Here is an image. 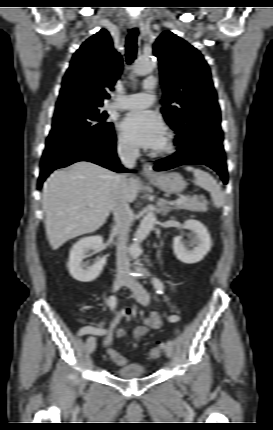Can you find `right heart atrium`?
I'll return each mask as SVG.
<instances>
[{
	"label": "right heart atrium",
	"instance_id": "right-heart-atrium-1",
	"mask_svg": "<svg viewBox=\"0 0 273 430\" xmlns=\"http://www.w3.org/2000/svg\"><path fill=\"white\" fill-rule=\"evenodd\" d=\"M118 150L125 156H133L136 153L135 147L125 141L123 138H119L118 140Z\"/></svg>",
	"mask_w": 273,
	"mask_h": 430
}]
</instances>
